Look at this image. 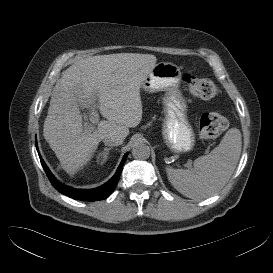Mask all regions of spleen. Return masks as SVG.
Returning <instances> with one entry per match:
<instances>
[{
  "mask_svg": "<svg viewBox=\"0 0 273 273\" xmlns=\"http://www.w3.org/2000/svg\"><path fill=\"white\" fill-rule=\"evenodd\" d=\"M241 132L229 129L208 155L198 157L192 169L166 168L168 180L182 195L200 200L221 190L232 176L241 154Z\"/></svg>",
  "mask_w": 273,
  "mask_h": 273,
  "instance_id": "1",
  "label": "spleen"
}]
</instances>
